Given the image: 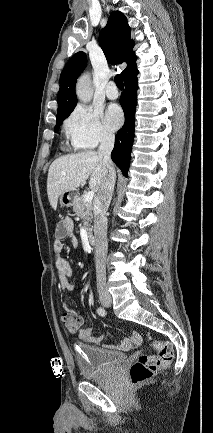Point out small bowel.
I'll list each match as a JSON object with an SVG mask.
<instances>
[{
	"label": "small bowel",
	"mask_w": 213,
	"mask_h": 433,
	"mask_svg": "<svg viewBox=\"0 0 213 433\" xmlns=\"http://www.w3.org/2000/svg\"><path fill=\"white\" fill-rule=\"evenodd\" d=\"M68 238L72 245L77 246L78 242L73 234V221L70 218H63L56 226L53 249L56 254V269L58 271L59 286L63 291L64 308L69 311L71 302L67 295L73 289L72 282V266L68 259L61 255L64 248V240ZM78 337L86 343L100 344L103 341V336H93L91 327H84L78 331ZM141 336L137 332H133L131 336L125 339L118 348L121 350H130L133 347L140 345Z\"/></svg>",
	"instance_id": "obj_1"
}]
</instances>
